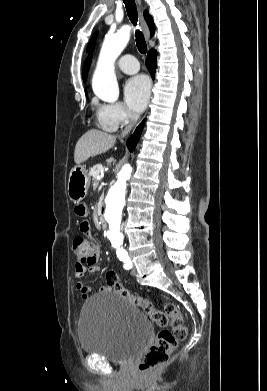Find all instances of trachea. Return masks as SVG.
I'll use <instances>...</instances> for the list:
<instances>
[{
    "instance_id": "obj_1",
    "label": "trachea",
    "mask_w": 267,
    "mask_h": 391,
    "mask_svg": "<svg viewBox=\"0 0 267 391\" xmlns=\"http://www.w3.org/2000/svg\"><path fill=\"white\" fill-rule=\"evenodd\" d=\"M123 2L125 4V8L127 10V14H128L130 21L132 22V24L134 26H136L137 21H138V14H137L135 0H123ZM135 41H136V46H137L139 52L141 54H146V52H147L146 41H145L143 33L139 29H136Z\"/></svg>"
}]
</instances>
